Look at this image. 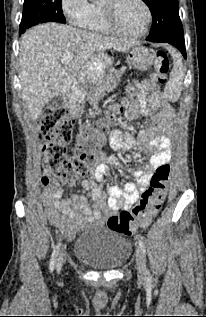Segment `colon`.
I'll return each instance as SVG.
<instances>
[{"label": "colon", "mask_w": 206, "mask_h": 317, "mask_svg": "<svg viewBox=\"0 0 206 317\" xmlns=\"http://www.w3.org/2000/svg\"><path fill=\"white\" fill-rule=\"evenodd\" d=\"M149 65L154 68L153 80L164 83L169 70L167 55L163 51L152 53ZM113 111L118 112L119 108L113 107ZM73 129V119L60 107L46 108L39 120V130L44 135L43 165L66 184L89 175L103 143L104 124L85 125L78 135L75 152L70 156L67 147L72 140ZM170 173L169 163L158 167L150 178L149 186L142 192L139 203L130 210L110 216L109 228L124 235H133L148 226L165 199ZM42 184L48 186L49 179L43 178Z\"/></svg>", "instance_id": "colon-1"}]
</instances>
